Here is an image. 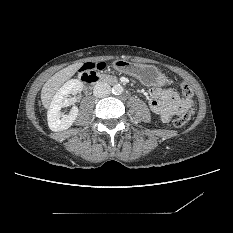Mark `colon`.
Here are the masks:
<instances>
[{"label":"colon","mask_w":233,"mask_h":233,"mask_svg":"<svg viewBox=\"0 0 233 233\" xmlns=\"http://www.w3.org/2000/svg\"><path fill=\"white\" fill-rule=\"evenodd\" d=\"M105 67H106L105 62L85 63L82 65L80 71L84 74L86 73L97 74L98 71H102L103 69H105ZM180 90L184 99H186V101L192 104L194 101V94L191 88L185 82H181ZM191 116H192V110H189L181 114L174 120L173 122L174 126L177 128L183 127L191 118Z\"/></svg>","instance_id":"obj_1"}]
</instances>
